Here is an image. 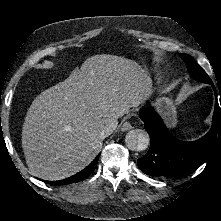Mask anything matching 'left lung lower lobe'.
Masks as SVG:
<instances>
[{"label": "left lung lower lobe", "mask_w": 221, "mask_h": 221, "mask_svg": "<svg viewBox=\"0 0 221 221\" xmlns=\"http://www.w3.org/2000/svg\"><path fill=\"white\" fill-rule=\"evenodd\" d=\"M216 102L210 131L202 138L185 142L174 138L154 108L147 107L140 111V118L150 135V149L138 159L139 168L146 174L157 177L183 176L195 171L221 144V110L217 92L212 82ZM220 104H221V92Z\"/></svg>", "instance_id": "left-lung-lower-lobe-1"}]
</instances>
